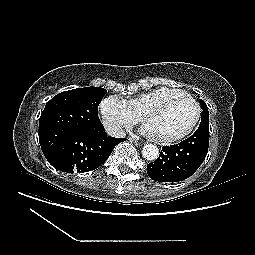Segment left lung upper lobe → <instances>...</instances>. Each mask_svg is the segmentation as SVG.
Wrapping results in <instances>:
<instances>
[{
  "label": "left lung upper lobe",
  "instance_id": "1",
  "mask_svg": "<svg viewBox=\"0 0 255 255\" xmlns=\"http://www.w3.org/2000/svg\"><path fill=\"white\" fill-rule=\"evenodd\" d=\"M200 104H201V108H202V119H201V124L203 123H209V111H208V107L206 106L205 102L200 99Z\"/></svg>",
  "mask_w": 255,
  "mask_h": 255
}]
</instances>
